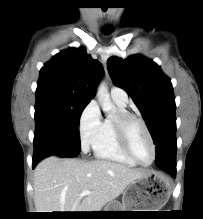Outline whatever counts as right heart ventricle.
<instances>
[{"label": "right heart ventricle", "instance_id": "obj_1", "mask_svg": "<svg viewBox=\"0 0 203 219\" xmlns=\"http://www.w3.org/2000/svg\"><path fill=\"white\" fill-rule=\"evenodd\" d=\"M118 106V114L128 112L126 105L115 102ZM94 155L96 158L112 161L126 166H136L121 147L115 127V117L106 118L100 127L95 142L93 144Z\"/></svg>", "mask_w": 203, "mask_h": 219}]
</instances>
